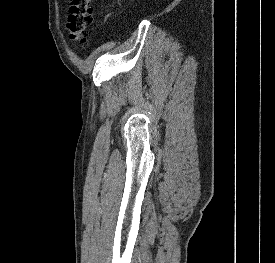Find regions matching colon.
Returning a JSON list of instances; mask_svg holds the SVG:
<instances>
[{
    "label": "colon",
    "mask_w": 275,
    "mask_h": 263,
    "mask_svg": "<svg viewBox=\"0 0 275 263\" xmlns=\"http://www.w3.org/2000/svg\"><path fill=\"white\" fill-rule=\"evenodd\" d=\"M92 22V0H71L66 29L68 37L74 45H86L88 28Z\"/></svg>",
    "instance_id": "obj_1"
}]
</instances>
